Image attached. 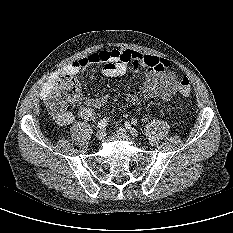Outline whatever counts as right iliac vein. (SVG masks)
Masks as SVG:
<instances>
[{
    "label": "right iliac vein",
    "mask_w": 233,
    "mask_h": 233,
    "mask_svg": "<svg viewBox=\"0 0 233 233\" xmlns=\"http://www.w3.org/2000/svg\"><path fill=\"white\" fill-rule=\"evenodd\" d=\"M96 137L98 140H102L105 137V131L103 129H100L96 133Z\"/></svg>",
    "instance_id": "right-iliac-vein-1"
}]
</instances>
